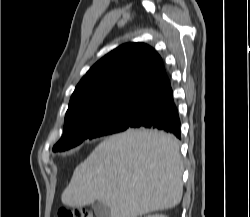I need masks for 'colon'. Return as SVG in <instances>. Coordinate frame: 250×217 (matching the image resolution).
Segmentation results:
<instances>
[{
  "label": "colon",
  "mask_w": 250,
  "mask_h": 217,
  "mask_svg": "<svg viewBox=\"0 0 250 217\" xmlns=\"http://www.w3.org/2000/svg\"><path fill=\"white\" fill-rule=\"evenodd\" d=\"M57 217H93L92 214L83 208H65L61 209Z\"/></svg>",
  "instance_id": "5ec220e1"
}]
</instances>
